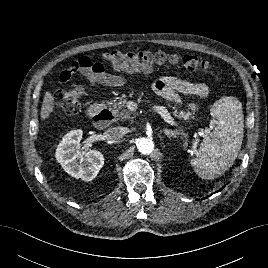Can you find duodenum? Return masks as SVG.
Instances as JSON below:
<instances>
[{
  "instance_id": "duodenum-1",
  "label": "duodenum",
  "mask_w": 268,
  "mask_h": 268,
  "mask_svg": "<svg viewBox=\"0 0 268 268\" xmlns=\"http://www.w3.org/2000/svg\"><path fill=\"white\" fill-rule=\"evenodd\" d=\"M89 115L94 119L98 128H108L113 123V114L102 104H93L89 108Z\"/></svg>"
}]
</instances>
